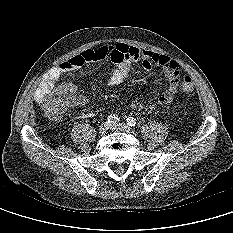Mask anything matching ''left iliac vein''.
<instances>
[{
  "label": "left iliac vein",
  "mask_w": 233,
  "mask_h": 233,
  "mask_svg": "<svg viewBox=\"0 0 233 233\" xmlns=\"http://www.w3.org/2000/svg\"><path fill=\"white\" fill-rule=\"evenodd\" d=\"M110 128L115 131H126V132L130 131V128L127 125L122 124V123L111 124Z\"/></svg>",
  "instance_id": "left-iliac-vein-1"
}]
</instances>
